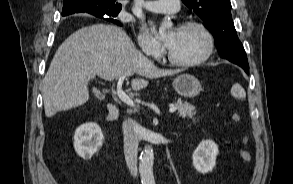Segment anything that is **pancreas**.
Segmentation results:
<instances>
[{
    "instance_id": "pancreas-1",
    "label": "pancreas",
    "mask_w": 293,
    "mask_h": 184,
    "mask_svg": "<svg viewBox=\"0 0 293 184\" xmlns=\"http://www.w3.org/2000/svg\"><path fill=\"white\" fill-rule=\"evenodd\" d=\"M175 107H177L179 115L181 117L188 116V117L192 118L196 114L195 107L187 102H183L181 99H178L175 102Z\"/></svg>"
}]
</instances>
